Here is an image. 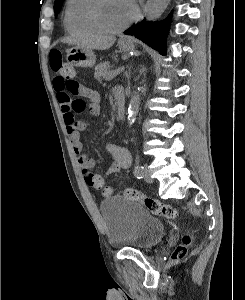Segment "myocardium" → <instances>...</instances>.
Wrapping results in <instances>:
<instances>
[{"instance_id":"1","label":"myocardium","mask_w":245,"mask_h":300,"mask_svg":"<svg viewBox=\"0 0 245 300\" xmlns=\"http://www.w3.org/2000/svg\"><path fill=\"white\" fill-rule=\"evenodd\" d=\"M101 0H89V3L86 8L85 16L88 24L95 29L99 33L103 34H116L119 33L126 28H128L137 18V11L134 12L133 16L124 24L115 27V28H108L104 26L99 18H98V6Z\"/></svg>"}]
</instances>
